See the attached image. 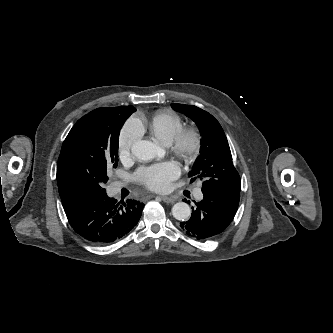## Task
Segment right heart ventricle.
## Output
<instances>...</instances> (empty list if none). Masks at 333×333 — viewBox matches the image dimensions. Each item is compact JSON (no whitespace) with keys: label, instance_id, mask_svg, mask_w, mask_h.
<instances>
[{"label":"right heart ventricle","instance_id":"e07e8e85","mask_svg":"<svg viewBox=\"0 0 333 333\" xmlns=\"http://www.w3.org/2000/svg\"><path fill=\"white\" fill-rule=\"evenodd\" d=\"M184 123L180 116L171 111H160L153 114L141 128L148 131L164 145H170L176 133L183 127Z\"/></svg>","mask_w":333,"mask_h":333}]
</instances>
